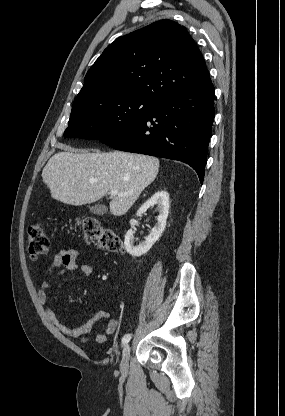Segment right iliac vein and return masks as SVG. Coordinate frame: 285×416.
<instances>
[{"label":"right iliac vein","mask_w":285,"mask_h":416,"mask_svg":"<svg viewBox=\"0 0 285 416\" xmlns=\"http://www.w3.org/2000/svg\"><path fill=\"white\" fill-rule=\"evenodd\" d=\"M131 346L129 344H125L123 351H122V359L120 363V369L123 373L128 372V359L130 356Z\"/></svg>","instance_id":"obj_1"}]
</instances>
